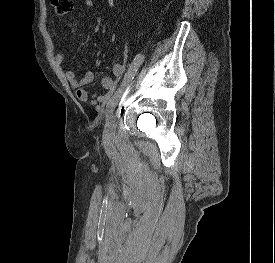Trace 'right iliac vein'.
Masks as SVG:
<instances>
[{"label": "right iliac vein", "instance_id": "63e3f726", "mask_svg": "<svg viewBox=\"0 0 275 263\" xmlns=\"http://www.w3.org/2000/svg\"><path fill=\"white\" fill-rule=\"evenodd\" d=\"M118 103V102H117ZM116 106L112 108L110 113L106 115V123L103 132V140L105 143H110L114 134L115 118H116Z\"/></svg>", "mask_w": 275, "mask_h": 263}]
</instances>
